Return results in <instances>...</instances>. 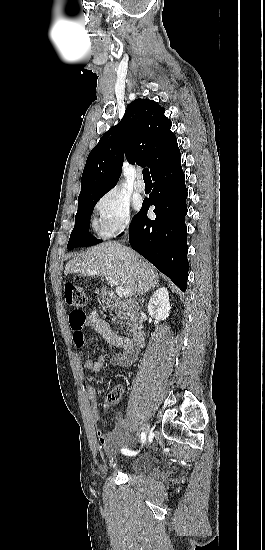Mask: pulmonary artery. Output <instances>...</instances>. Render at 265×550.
Instances as JSON below:
<instances>
[{"instance_id": "pulmonary-artery-1", "label": "pulmonary artery", "mask_w": 265, "mask_h": 550, "mask_svg": "<svg viewBox=\"0 0 265 550\" xmlns=\"http://www.w3.org/2000/svg\"><path fill=\"white\" fill-rule=\"evenodd\" d=\"M138 178H141V174L138 175ZM135 189L137 192H144L145 191V183L139 179L135 184Z\"/></svg>"}]
</instances>
